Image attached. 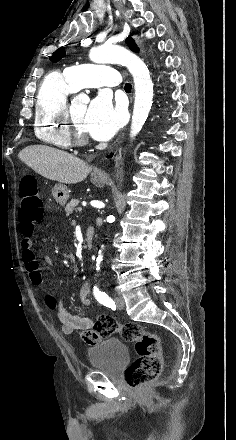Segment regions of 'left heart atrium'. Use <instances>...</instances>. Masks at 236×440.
Wrapping results in <instances>:
<instances>
[{"label":"left heart atrium","instance_id":"39dd6f15","mask_svg":"<svg viewBox=\"0 0 236 440\" xmlns=\"http://www.w3.org/2000/svg\"><path fill=\"white\" fill-rule=\"evenodd\" d=\"M121 122V109L114 106L106 94L94 98L86 109L85 129L96 140L110 139L117 132Z\"/></svg>","mask_w":236,"mask_h":440}]
</instances>
